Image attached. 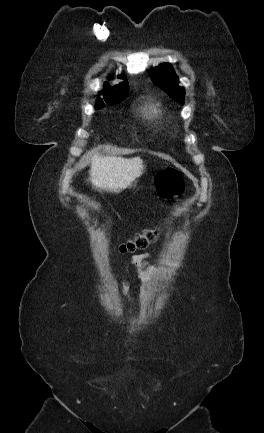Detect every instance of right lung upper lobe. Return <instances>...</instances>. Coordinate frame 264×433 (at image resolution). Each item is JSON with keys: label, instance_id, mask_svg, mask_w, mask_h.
Returning <instances> with one entry per match:
<instances>
[{"label": "right lung upper lobe", "instance_id": "cb5924a9", "mask_svg": "<svg viewBox=\"0 0 264 433\" xmlns=\"http://www.w3.org/2000/svg\"><path fill=\"white\" fill-rule=\"evenodd\" d=\"M120 79H124L125 76L120 75L118 76ZM105 87H108L107 90L104 92V99L106 101H113L121 98H125L128 92V81L125 80L123 82H120L118 85L115 86H108V83L105 84ZM98 101H102V99H98Z\"/></svg>", "mask_w": 264, "mask_h": 433}]
</instances>
